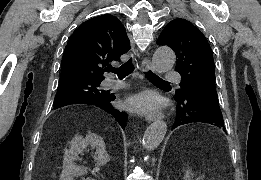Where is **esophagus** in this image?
I'll use <instances>...</instances> for the list:
<instances>
[{
	"label": "esophagus",
	"instance_id": "obj_1",
	"mask_svg": "<svg viewBox=\"0 0 261 180\" xmlns=\"http://www.w3.org/2000/svg\"><path fill=\"white\" fill-rule=\"evenodd\" d=\"M141 68H142L143 72H147V70H153L151 61L148 58H144L141 63ZM145 118L148 122H153L154 120H159V119L163 118V114L161 112H156L153 114L146 115Z\"/></svg>",
	"mask_w": 261,
	"mask_h": 180
}]
</instances>
